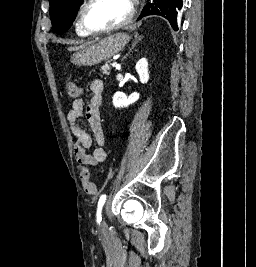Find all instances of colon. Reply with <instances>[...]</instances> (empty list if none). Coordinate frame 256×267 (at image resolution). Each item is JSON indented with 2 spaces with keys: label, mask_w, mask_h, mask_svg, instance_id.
I'll use <instances>...</instances> for the list:
<instances>
[{
  "label": "colon",
  "mask_w": 256,
  "mask_h": 267,
  "mask_svg": "<svg viewBox=\"0 0 256 267\" xmlns=\"http://www.w3.org/2000/svg\"><path fill=\"white\" fill-rule=\"evenodd\" d=\"M66 89L68 97L70 99H77L80 96V88L75 82L66 81ZM89 175L90 171L86 168H83L82 169L83 188L86 191V193L90 195H96L99 192L98 187L92 181H90Z\"/></svg>",
  "instance_id": "obj_1"
}]
</instances>
